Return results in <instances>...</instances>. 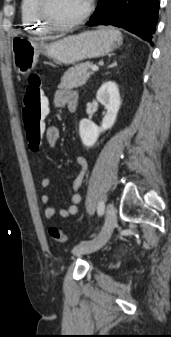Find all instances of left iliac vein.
Instances as JSON below:
<instances>
[{
  "label": "left iliac vein",
  "instance_id": "4c4485c4",
  "mask_svg": "<svg viewBox=\"0 0 171 337\" xmlns=\"http://www.w3.org/2000/svg\"><path fill=\"white\" fill-rule=\"evenodd\" d=\"M117 222L116 209L112 203L106 208L105 224L102 231L92 240L75 246L72 250L76 256L89 254L101 249L109 240Z\"/></svg>",
  "mask_w": 171,
  "mask_h": 337
}]
</instances>
